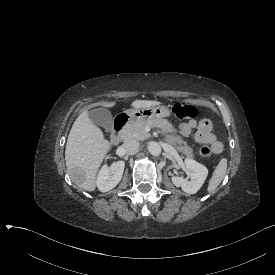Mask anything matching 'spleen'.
<instances>
[{"label":"spleen","instance_id":"obj_1","mask_svg":"<svg viewBox=\"0 0 275 275\" xmlns=\"http://www.w3.org/2000/svg\"><path fill=\"white\" fill-rule=\"evenodd\" d=\"M226 170H227V159L223 158L220 160L215 171L213 172L212 178L209 181V185H208L209 192H213L219 186V184L225 177Z\"/></svg>","mask_w":275,"mask_h":275}]
</instances>
